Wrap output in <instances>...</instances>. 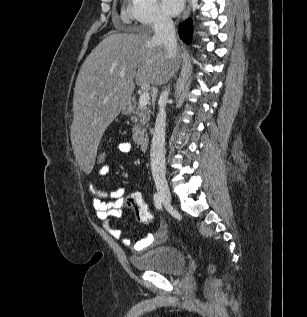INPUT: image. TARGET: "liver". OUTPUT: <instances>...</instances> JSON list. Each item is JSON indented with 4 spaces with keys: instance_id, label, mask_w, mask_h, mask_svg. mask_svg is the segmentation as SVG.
I'll return each mask as SVG.
<instances>
[{
    "instance_id": "6515ba94",
    "label": "liver",
    "mask_w": 307,
    "mask_h": 317,
    "mask_svg": "<svg viewBox=\"0 0 307 317\" xmlns=\"http://www.w3.org/2000/svg\"><path fill=\"white\" fill-rule=\"evenodd\" d=\"M173 58L150 31L111 33L89 54L79 71L73 97L71 141L83 175H92L97 147L135 84L162 85ZM124 73V77L120 73Z\"/></svg>"
}]
</instances>
